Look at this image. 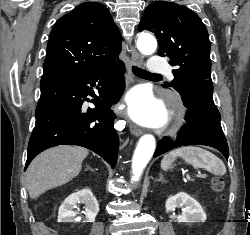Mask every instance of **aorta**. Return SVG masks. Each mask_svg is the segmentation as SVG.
Wrapping results in <instances>:
<instances>
[{"label": "aorta", "instance_id": "obj_1", "mask_svg": "<svg viewBox=\"0 0 250 235\" xmlns=\"http://www.w3.org/2000/svg\"><path fill=\"white\" fill-rule=\"evenodd\" d=\"M137 47L144 55H151L157 48L156 39L147 33L139 35ZM155 151V138L152 135H144L140 138L132 158V180L138 181L140 176Z\"/></svg>", "mask_w": 250, "mask_h": 235}]
</instances>
